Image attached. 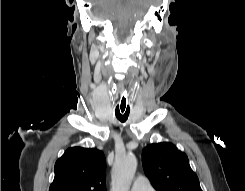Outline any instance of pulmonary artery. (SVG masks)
I'll list each match as a JSON object with an SVG mask.
<instances>
[{
  "mask_svg": "<svg viewBox=\"0 0 245 191\" xmlns=\"http://www.w3.org/2000/svg\"><path fill=\"white\" fill-rule=\"evenodd\" d=\"M131 191H155L145 177H137L131 187Z\"/></svg>",
  "mask_w": 245,
  "mask_h": 191,
  "instance_id": "pulmonary-artery-1",
  "label": "pulmonary artery"
}]
</instances>
